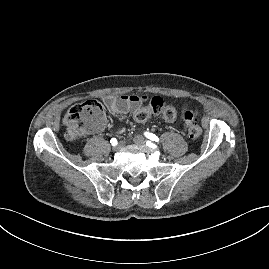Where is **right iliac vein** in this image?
Returning <instances> with one entry per match:
<instances>
[{
    "instance_id": "1",
    "label": "right iliac vein",
    "mask_w": 269,
    "mask_h": 269,
    "mask_svg": "<svg viewBox=\"0 0 269 269\" xmlns=\"http://www.w3.org/2000/svg\"><path fill=\"white\" fill-rule=\"evenodd\" d=\"M125 145V142L124 141H121L120 143H118L117 145H115V146H113V150L114 151H118L119 150V148H121L122 146H124Z\"/></svg>"
}]
</instances>
